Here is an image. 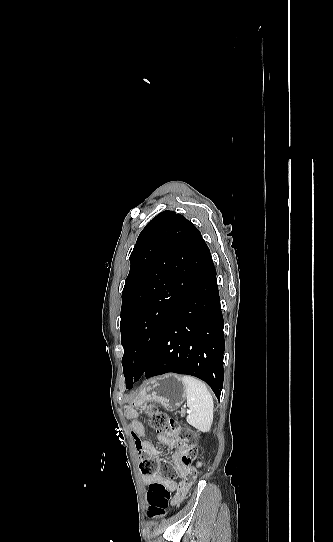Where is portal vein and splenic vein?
Returning a JSON list of instances; mask_svg holds the SVG:
<instances>
[{"label": "portal vein and splenic vein", "instance_id": "1", "mask_svg": "<svg viewBox=\"0 0 333 542\" xmlns=\"http://www.w3.org/2000/svg\"><path fill=\"white\" fill-rule=\"evenodd\" d=\"M188 414H190V410H187Z\"/></svg>", "mask_w": 333, "mask_h": 542}]
</instances>
